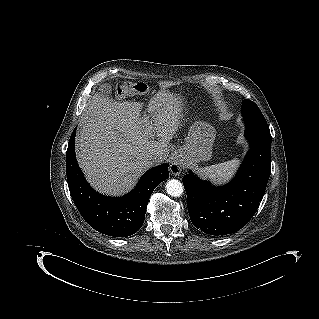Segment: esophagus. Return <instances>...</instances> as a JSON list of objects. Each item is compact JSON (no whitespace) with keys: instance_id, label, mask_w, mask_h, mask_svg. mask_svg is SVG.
Masks as SVG:
<instances>
[{"instance_id":"1","label":"esophagus","mask_w":319,"mask_h":319,"mask_svg":"<svg viewBox=\"0 0 319 319\" xmlns=\"http://www.w3.org/2000/svg\"><path fill=\"white\" fill-rule=\"evenodd\" d=\"M183 167L182 160L179 157H176L170 165V171L173 175L177 176L181 173Z\"/></svg>"}]
</instances>
